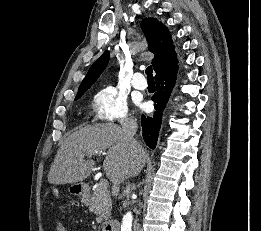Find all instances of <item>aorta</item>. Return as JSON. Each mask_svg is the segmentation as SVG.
Masks as SVG:
<instances>
[{
	"instance_id": "obj_1",
	"label": "aorta",
	"mask_w": 261,
	"mask_h": 231,
	"mask_svg": "<svg viewBox=\"0 0 261 231\" xmlns=\"http://www.w3.org/2000/svg\"><path fill=\"white\" fill-rule=\"evenodd\" d=\"M132 226V214L127 212L122 220L121 231H131Z\"/></svg>"
}]
</instances>
